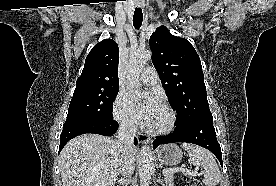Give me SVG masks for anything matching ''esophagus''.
<instances>
[{
    "instance_id": "1",
    "label": "esophagus",
    "mask_w": 276,
    "mask_h": 186,
    "mask_svg": "<svg viewBox=\"0 0 276 186\" xmlns=\"http://www.w3.org/2000/svg\"><path fill=\"white\" fill-rule=\"evenodd\" d=\"M136 6L137 7H140V8H143L144 7V2L142 1H137L136 2ZM137 139H138V142L141 143V144H149L151 142V139L149 136H146L145 134L143 133H138L137 135Z\"/></svg>"
}]
</instances>
